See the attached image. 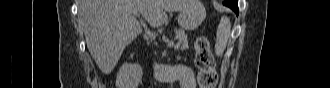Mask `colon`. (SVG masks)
Instances as JSON below:
<instances>
[{"instance_id": "obj_1", "label": "colon", "mask_w": 330, "mask_h": 88, "mask_svg": "<svg viewBox=\"0 0 330 88\" xmlns=\"http://www.w3.org/2000/svg\"><path fill=\"white\" fill-rule=\"evenodd\" d=\"M195 62L199 70L198 83L200 88H215L218 82L216 62L211 51L208 38L198 37L194 43Z\"/></svg>"}]
</instances>
